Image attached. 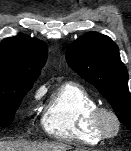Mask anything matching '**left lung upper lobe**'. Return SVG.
Masks as SVG:
<instances>
[{
    "label": "left lung upper lobe",
    "mask_w": 131,
    "mask_h": 151,
    "mask_svg": "<svg viewBox=\"0 0 131 151\" xmlns=\"http://www.w3.org/2000/svg\"><path fill=\"white\" fill-rule=\"evenodd\" d=\"M69 66L106 98L119 120L131 130V94L128 71L120 60L118 46L108 37L88 32L70 44Z\"/></svg>",
    "instance_id": "obj_1"
}]
</instances>
